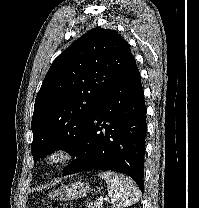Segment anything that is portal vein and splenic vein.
I'll return each mask as SVG.
<instances>
[{
  "mask_svg": "<svg viewBox=\"0 0 199 208\" xmlns=\"http://www.w3.org/2000/svg\"><path fill=\"white\" fill-rule=\"evenodd\" d=\"M103 201H104L103 198H99L98 205H102L103 204Z\"/></svg>",
  "mask_w": 199,
  "mask_h": 208,
  "instance_id": "obj_1",
  "label": "portal vein and splenic vein"
}]
</instances>
